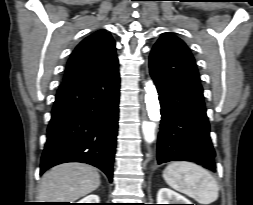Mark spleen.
<instances>
[{
	"label": "spleen",
	"mask_w": 253,
	"mask_h": 205,
	"mask_svg": "<svg viewBox=\"0 0 253 205\" xmlns=\"http://www.w3.org/2000/svg\"><path fill=\"white\" fill-rule=\"evenodd\" d=\"M163 178L169 186L192 197L200 204H211L218 198L217 181L197 164L172 162L163 171Z\"/></svg>",
	"instance_id": "1"
}]
</instances>
